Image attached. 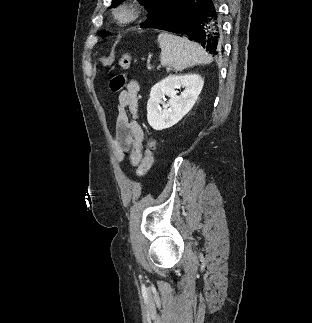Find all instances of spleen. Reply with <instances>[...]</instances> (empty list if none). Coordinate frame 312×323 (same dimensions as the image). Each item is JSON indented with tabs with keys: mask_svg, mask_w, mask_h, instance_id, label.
Instances as JSON below:
<instances>
[{
	"mask_svg": "<svg viewBox=\"0 0 312 323\" xmlns=\"http://www.w3.org/2000/svg\"><path fill=\"white\" fill-rule=\"evenodd\" d=\"M158 42L161 48V66H170L176 72H182L196 64H210L212 60L200 44L190 42L188 38L174 36L171 32H161Z\"/></svg>",
	"mask_w": 312,
	"mask_h": 323,
	"instance_id": "spleen-1",
	"label": "spleen"
}]
</instances>
